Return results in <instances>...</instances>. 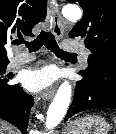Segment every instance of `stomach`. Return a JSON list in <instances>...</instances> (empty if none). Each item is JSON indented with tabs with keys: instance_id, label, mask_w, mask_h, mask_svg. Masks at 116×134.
Returning a JSON list of instances; mask_svg holds the SVG:
<instances>
[{
	"instance_id": "stomach-1",
	"label": "stomach",
	"mask_w": 116,
	"mask_h": 134,
	"mask_svg": "<svg viewBox=\"0 0 116 134\" xmlns=\"http://www.w3.org/2000/svg\"><path fill=\"white\" fill-rule=\"evenodd\" d=\"M108 122L99 116H85L70 123L65 134H108Z\"/></svg>"
}]
</instances>
